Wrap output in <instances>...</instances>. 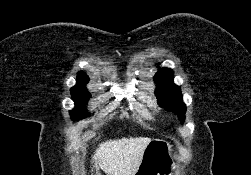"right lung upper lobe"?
Masks as SVG:
<instances>
[{
    "label": "right lung upper lobe",
    "mask_w": 251,
    "mask_h": 175,
    "mask_svg": "<svg viewBox=\"0 0 251 175\" xmlns=\"http://www.w3.org/2000/svg\"><path fill=\"white\" fill-rule=\"evenodd\" d=\"M89 77L85 72L81 71L77 75V85L73 88H86L85 85L88 83Z\"/></svg>",
    "instance_id": "right-lung-upper-lobe-1"
}]
</instances>
